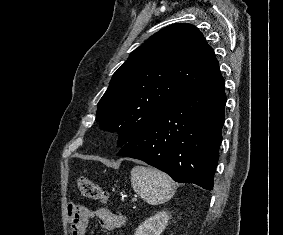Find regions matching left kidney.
I'll return each mask as SVG.
<instances>
[{"label": "left kidney", "instance_id": "obj_1", "mask_svg": "<svg viewBox=\"0 0 283 235\" xmlns=\"http://www.w3.org/2000/svg\"><path fill=\"white\" fill-rule=\"evenodd\" d=\"M169 220V214L165 211L155 214L146 219L138 226L134 235H160Z\"/></svg>", "mask_w": 283, "mask_h": 235}]
</instances>
